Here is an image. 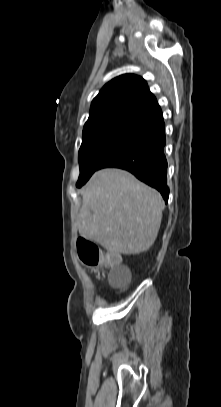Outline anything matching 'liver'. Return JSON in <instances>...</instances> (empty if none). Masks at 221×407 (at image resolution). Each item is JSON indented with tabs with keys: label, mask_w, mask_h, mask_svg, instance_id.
<instances>
[{
	"label": "liver",
	"mask_w": 221,
	"mask_h": 407,
	"mask_svg": "<svg viewBox=\"0 0 221 407\" xmlns=\"http://www.w3.org/2000/svg\"><path fill=\"white\" fill-rule=\"evenodd\" d=\"M164 202L155 189L121 169L95 172L86 184L79 232L114 254H139L155 242Z\"/></svg>",
	"instance_id": "liver-1"
}]
</instances>
